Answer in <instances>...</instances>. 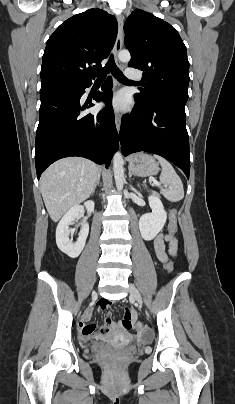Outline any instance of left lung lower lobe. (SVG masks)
I'll list each match as a JSON object with an SVG mask.
<instances>
[{
	"mask_svg": "<svg viewBox=\"0 0 235 404\" xmlns=\"http://www.w3.org/2000/svg\"><path fill=\"white\" fill-rule=\"evenodd\" d=\"M135 102V111L121 120L119 136L123 155L139 151L158 154L183 170L189 179L185 103L171 99L148 104L136 99Z\"/></svg>",
	"mask_w": 235,
	"mask_h": 404,
	"instance_id": "0a47b994",
	"label": "left lung lower lobe"
}]
</instances>
